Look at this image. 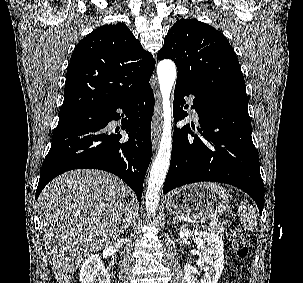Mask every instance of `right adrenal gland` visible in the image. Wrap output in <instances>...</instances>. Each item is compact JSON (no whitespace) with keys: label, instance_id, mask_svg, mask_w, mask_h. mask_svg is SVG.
<instances>
[{"label":"right adrenal gland","instance_id":"1","mask_svg":"<svg viewBox=\"0 0 303 283\" xmlns=\"http://www.w3.org/2000/svg\"><path fill=\"white\" fill-rule=\"evenodd\" d=\"M131 218V213H128L127 216L123 219V224L120 226L118 234L123 233L130 226Z\"/></svg>","mask_w":303,"mask_h":283}]
</instances>
